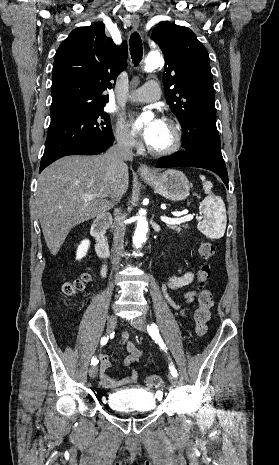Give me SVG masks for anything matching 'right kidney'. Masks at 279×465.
<instances>
[{
  "label": "right kidney",
  "mask_w": 279,
  "mask_h": 465,
  "mask_svg": "<svg viewBox=\"0 0 279 465\" xmlns=\"http://www.w3.org/2000/svg\"><path fill=\"white\" fill-rule=\"evenodd\" d=\"M89 246H90V241L89 240H83L81 242V244L77 248V253H76V259L77 260L82 259L86 255V253H87V251L89 249Z\"/></svg>",
  "instance_id": "right-kidney-1"
}]
</instances>
